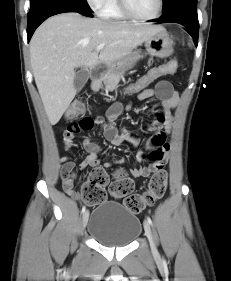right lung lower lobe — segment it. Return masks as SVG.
<instances>
[{"instance_id": "obj_1", "label": "right lung lower lobe", "mask_w": 231, "mask_h": 281, "mask_svg": "<svg viewBox=\"0 0 231 281\" xmlns=\"http://www.w3.org/2000/svg\"><path fill=\"white\" fill-rule=\"evenodd\" d=\"M78 12L93 17L85 0H30L27 35L30 41L36 28L48 17L65 13Z\"/></svg>"}]
</instances>
